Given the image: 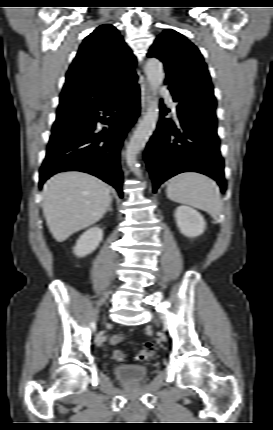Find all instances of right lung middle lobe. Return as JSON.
I'll use <instances>...</instances> for the list:
<instances>
[{"label": "right lung middle lobe", "mask_w": 273, "mask_h": 430, "mask_svg": "<svg viewBox=\"0 0 273 430\" xmlns=\"http://www.w3.org/2000/svg\"><path fill=\"white\" fill-rule=\"evenodd\" d=\"M88 114V109L81 104L60 106L57 111V119L53 124L52 134L80 127Z\"/></svg>", "instance_id": "dd1d6c3e"}]
</instances>
